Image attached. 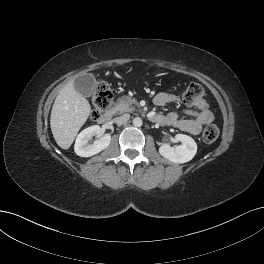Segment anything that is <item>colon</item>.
Returning a JSON list of instances; mask_svg holds the SVG:
<instances>
[{"mask_svg":"<svg viewBox=\"0 0 264 264\" xmlns=\"http://www.w3.org/2000/svg\"><path fill=\"white\" fill-rule=\"evenodd\" d=\"M183 102L191 107L204 110L207 107L203 88L196 83L189 84L182 96ZM113 101V92L109 85L104 81H99L93 94L92 118L97 119L103 111L110 107ZM219 129L216 125L210 124L205 127L202 138L207 143L217 140Z\"/></svg>","mask_w":264,"mask_h":264,"instance_id":"obj_1","label":"colon"}]
</instances>
